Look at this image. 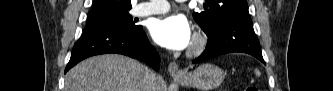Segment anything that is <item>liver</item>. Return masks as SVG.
Listing matches in <instances>:
<instances>
[{
	"mask_svg": "<svg viewBox=\"0 0 333 91\" xmlns=\"http://www.w3.org/2000/svg\"><path fill=\"white\" fill-rule=\"evenodd\" d=\"M147 70L140 62L125 56H95L67 73L64 91H144ZM154 89L160 91L158 78Z\"/></svg>",
	"mask_w": 333,
	"mask_h": 91,
	"instance_id": "1",
	"label": "liver"
}]
</instances>
